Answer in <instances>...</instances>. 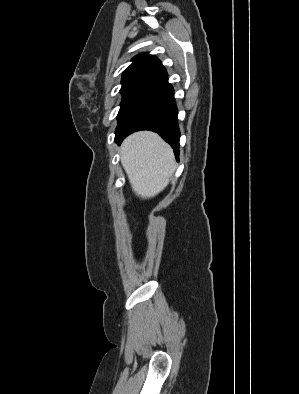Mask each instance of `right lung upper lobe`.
Masks as SVG:
<instances>
[{"mask_svg": "<svg viewBox=\"0 0 299 394\" xmlns=\"http://www.w3.org/2000/svg\"><path fill=\"white\" fill-rule=\"evenodd\" d=\"M122 75V87L151 88L167 78V72L156 56L142 53L132 59Z\"/></svg>", "mask_w": 299, "mask_h": 394, "instance_id": "1", "label": "right lung upper lobe"}]
</instances>
